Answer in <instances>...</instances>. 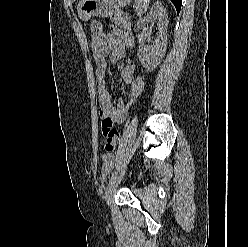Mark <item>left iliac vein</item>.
<instances>
[{"mask_svg":"<svg viewBox=\"0 0 248 247\" xmlns=\"http://www.w3.org/2000/svg\"><path fill=\"white\" fill-rule=\"evenodd\" d=\"M126 171V165H124V167L121 169V171L119 173L116 174V176H114L108 183V186L106 188V192H105V202L108 206H110L112 197L115 193V190L118 186V184L120 183L122 177L124 176Z\"/></svg>","mask_w":248,"mask_h":247,"instance_id":"1","label":"left iliac vein"}]
</instances>
